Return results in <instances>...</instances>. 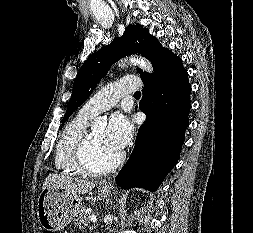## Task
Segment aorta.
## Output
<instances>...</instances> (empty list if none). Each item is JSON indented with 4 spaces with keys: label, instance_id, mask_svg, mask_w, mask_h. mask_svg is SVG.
<instances>
[{
    "label": "aorta",
    "instance_id": "1",
    "mask_svg": "<svg viewBox=\"0 0 253 233\" xmlns=\"http://www.w3.org/2000/svg\"><path fill=\"white\" fill-rule=\"evenodd\" d=\"M129 63L139 66L140 68H142L144 71L148 73H151L153 70L150 62L143 57H130ZM105 125H106V120L101 117L96 118V120H94V122L92 123L93 128L104 127Z\"/></svg>",
    "mask_w": 253,
    "mask_h": 233
}]
</instances>
